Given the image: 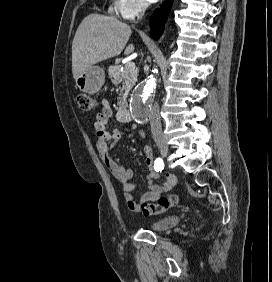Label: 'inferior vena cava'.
Returning <instances> with one entry per match:
<instances>
[{
	"instance_id": "1",
	"label": "inferior vena cava",
	"mask_w": 272,
	"mask_h": 282,
	"mask_svg": "<svg viewBox=\"0 0 272 282\" xmlns=\"http://www.w3.org/2000/svg\"><path fill=\"white\" fill-rule=\"evenodd\" d=\"M147 8V4L143 3L139 9L138 19H142L144 12ZM150 126H151V133L155 141L163 139L162 127H161V120L159 115V105L157 102L153 104L150 114Z\"/></svg>"
}]
</instances>
